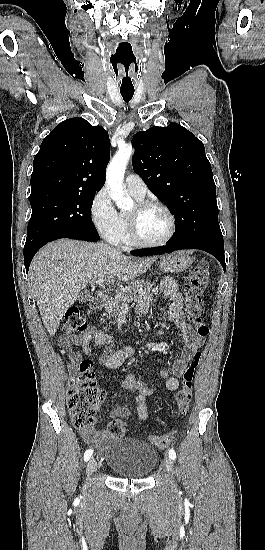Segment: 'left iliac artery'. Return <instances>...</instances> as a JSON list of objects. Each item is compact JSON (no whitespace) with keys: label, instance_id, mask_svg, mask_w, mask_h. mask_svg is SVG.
I'll return each instance as SVG.
<instances>
[{"label":"left iliac artery","instance_id":"44dca946","mask_svg":"<svg viewBox=\"0 0 265 550\" xmlns=\"http://www.w3.org/2000/svg\"><path fill=\"white\" fill-rule=\"evenodd\" d=\"M169 458L171 460H175L176 459V452L173 450V449H170L169 450Z\"/></svg>","mask_w":265,"mask_h":550}]
</instances>
